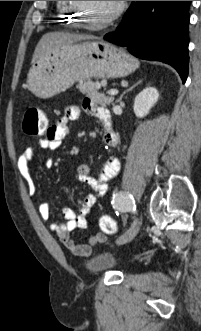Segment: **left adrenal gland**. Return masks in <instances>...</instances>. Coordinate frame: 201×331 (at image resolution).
I'll return each mask as SVG.
<instances>
[{"label":"left adrenal gland","mask_w":201,"mask_h":331,"mask_svg":"<svg viewBox=\"0 0 201 331\" xmlns=\"http://www.w3.org/2000/svg\"><path fill=\"white\" fill-rule=\"evenodd\" d=\"M141 83H142V80H139L137 83H135V84H134L133 86H131L129 89L125 90V91L121 94V96L119 97V99H118L116 102H121L123 96H124L127 92L133 90L136 86H138V85L141 84Z\"/></svg>","instance_id":"obj_1"}]
</instances>
